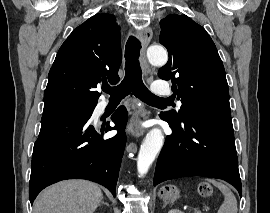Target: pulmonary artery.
<instances>
[{
	"instance_id": "obj_1",
	"label": "pulmonary artery",
	"mask_w": 270,
	"mask_h": 213,
	"mask_svg": "<svg viewBox=\"0 0 270 213\" xmlns=\"http://www.w3.org/2000/svg\"><path fill=\"white\" fill-rule=\"evenodd\" d=\"M152 90L155 96H165L171 93V87L166 81L154 82ZM178 104L180 105L181 102L178 101Z\"/></svg>"
}]
</instances>
